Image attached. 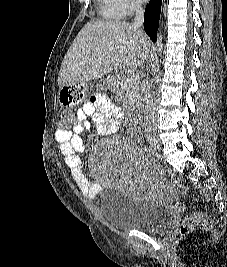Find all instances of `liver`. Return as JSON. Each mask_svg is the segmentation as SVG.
Wrapping results in <instances>:
<instances>
[{
    "instance_id": "liver-1",
    "label": "liver",
    "mask_w": 227,
    "mask_h": 267,
    "mask_svg": "<svg viewBox=\"0 0 227 267\" xmlns=\"http://www.w3.org/2000/svg\"><path fill=\"white\" fill-rule=\"evenodd\" d=\"M150 44L142 31L126 21L88 22L62 61L58 85L100 79L113 69L139 68L148 56Z\"/></svg>"
}]
</instances>
